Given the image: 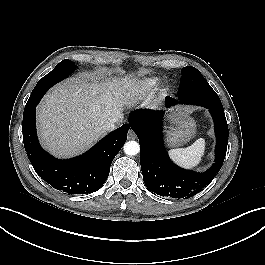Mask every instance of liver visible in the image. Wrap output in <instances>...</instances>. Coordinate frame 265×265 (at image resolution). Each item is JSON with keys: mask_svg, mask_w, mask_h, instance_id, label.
<instances>
[{"mask_svg": "<svg viewBox=\"0 0 265 265\" xmlns=\"http://www.w3.org/2000/svg\"><path fill=\"white\" fill-rule=\"evenodd\" d=\"M132 85L129 78L106 82L71 78L56 85L37 108L43 147L62 158L89 149L106 134L105 124L123 119Z\"/></svg>", "mask_w": 265, "mask_h": 265, "instance_id": "1", "label": "liver"}]
</instances>
